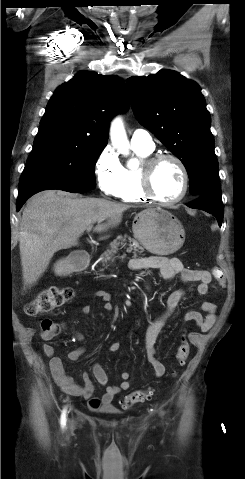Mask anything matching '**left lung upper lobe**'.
I'll list each match as a JSON object with an SVG mask.
<instances>
[{
  "mask_svg": "<svg viewBox=\"0 0 245 479\" xmlns=\"http://www.w3.org/2000/svg\"><path fill=\"white\" fill-rule=\"evenodd\" d=\"M139 122L185 166L190 193L219 186V167L210 131L211 118L199 85L173 70L127 80Z\"/></svg>",
  "mask_w": 245,
  "mask_h": 479,
  "instance_id": "obj_1",
  "label": "left lung upper lobe"
}]
</instances>
